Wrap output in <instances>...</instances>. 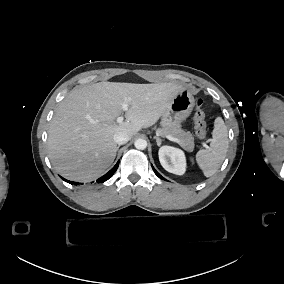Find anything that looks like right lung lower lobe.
I'll return each mask as SVG.
<instances>
[{"label":"right lung lower lobe","mask_w":284,"mask_h":284,"mask_svg":"<svg viewBox=\"0 0 284 284\" xmlns=\"http://www.w3.org/2000/svg\"><path fill=\"white\" fill-rule=\"evenodd\" d=\"M118 165H119V161L116 163V165H115L108 173H106L104 176H102V177H100L99 179H97V183H102V182L108 180L110 177H112V175H113V174L115 173V171L117 170ZM61 178H62V177H61ZM62 179H63L64 181L68 182V183H71V184H75V185L79 184V183H77V182L68 181V180H66V179H64V178H62Z\"/></svg>","instance_id":"98d812e1"}]
</instances>
